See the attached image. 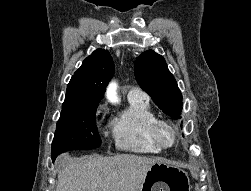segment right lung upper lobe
I'll list each match as a JSON object with an SVG mask.
<instances>
[{
  "label": "right lung upper lobe",
  "instance_id": "cb5924a9",
  "mask_svg": "<svg viewBox=\"0 0 251 191\" xmlns=\"http://www.w3.org/2000/svg\"><path fill=\"white\" fill-rule=\"evenodd\" d=\"M113 74L114 63L110 53L103 49L94 51L72 76L62 110L98 105Z\"/></svg>",
  "mask_w": 251,
  "mask_h": 191
}]
</instances>
